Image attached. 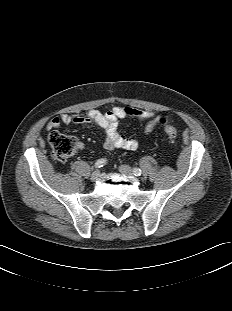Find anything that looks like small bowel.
I'll list each match as a JSON object with an SVG mask.
<instances>
[{
  "label": "small bowel",
  "mask_w": 232,
  "mask_h": 311,
  "mask_svg": "<svg viewBox=\"0 0 232 311\" xmlns=\"http://www.w3.org/2000/svg\"><path fill=\"white\" fill-rule=\"evenodd\" d=\"M126 118L148 120L144 132L149 135L154 130L158 116L154 112L142 108L114 106L106 113L91 110L82 115L61 114L49 120L46 129L55 131L62 124H93L103 131V146L106 150H136L138 148L137 140L120 133L118 130L119 122ZM77 147L80 150L84 149V143L78 142Z\"/></svg>",
  "instance_id": "c3829d8e"
}]
</instances>
